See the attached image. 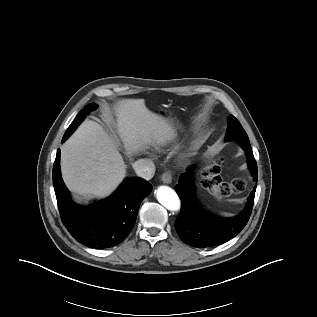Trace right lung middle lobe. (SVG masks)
<instances>
[{
  "label": "right lung middle lobe",
  "instance_id": "1",
  "mask_svg": "<svg viewBox=\"0 0 317 317\" xmlns=\"http://www.w3.org/2000/svg\"><path fill=\"white\" fill-rule=\"evenodd\" d=\"M97 108V105L94 103L88 104L85 106L83 110L79 112V114L75 117L69 128L67 129L66 133L63 136V139H67L73 131L77 128V126L84 120V118L87 116V113L89 111H93Z\"/></svg>",
  "mask_w": 317,
  "mask_h": 317
}]
</instances>
